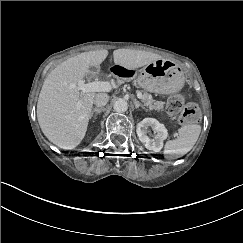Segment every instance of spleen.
<instances>
[{
	"label": "spleen",
	"mask_w": 243,
	"mask_h": 243,
	"mask_svg": "<svg viewBox=\"0 0 243 243\" xmlns=\"http://www.w3.org/2000/svg\"><path fill=\"white\" fill-rule=\"evenodd\" d=\"M177 139L169 140L164 147V154L184 155L188 153L197 142L201 133V126L198 124H189L182 126L179 130Z\"/></svg>",
	"instance_id": "3e777b00"
}]
</instances>
